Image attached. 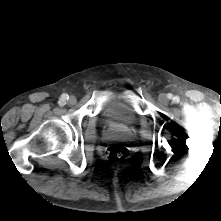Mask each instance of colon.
<instances>
[{
  "label": "colon",
  "mask_w": 221,
  "mask_h": 221,
  "mask_svg": "<svg viewBox=\"0 0 221 221\" xmlns=\"http://www.w3.org/2000/svg\"><path fill=\"white\" fill-rule=\"evenodd\" d=\"M105 154L110 162L118 163L124 161L128 157L129 150L121 144H112L106 149Z\"/></svg>",
  "instance_id": "1"
}]
</instances>
